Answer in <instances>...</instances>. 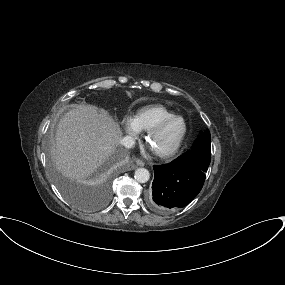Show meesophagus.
Segmentation results:
<instances>
[{
    "mask_svg": "<svg viewBox=\"0 0 285 285\" xmlns=\"http://www.w3.org/2000/svg\"><path fill=\"white\" fill-rule=\"evenodd\" d=\"M135 162H136V164H137L138 166H144V162H143L142 160H140V159H136ZM134 169H136V166H135V165H132V166L129 168V170H134Z\"/></svg>",
    "mask_w": 285,
    "mask_h": 285,
    "instance_id": "obj_1",
    "label": "esophagus"
}]
</instances>
